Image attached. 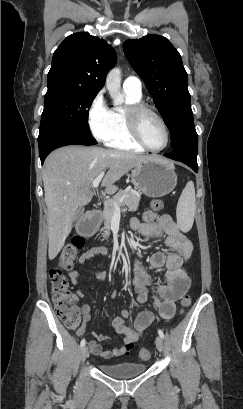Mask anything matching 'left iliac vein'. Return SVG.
I'll return each instance as SVG.
<instances>
[{"mask_svg":"<svg viewBox=\"0 0 243 409\" xmlns=\"http://www.w3.org/2000/svg\"><path fill=\"white\" fill-rule=\"evenodd\" d=\"M155 344H156L157 349H158L160 352H162L163 349H164V342H163V339H162L160 336H157V337H156V339H155Z\"/></svg>","mask_w":243,"mask_h":409,"instance_id":"4c4485c4","label":"left iliac vein"}]
</instances>
